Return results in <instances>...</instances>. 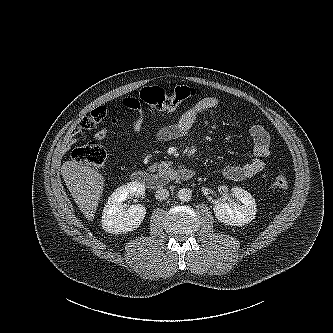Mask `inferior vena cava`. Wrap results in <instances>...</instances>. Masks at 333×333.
Here are the masks:
<instances>
[{
  "instance_id": "inferior-vena-cava-1",
  "label": "inferior vena cava",
  "mask_w": 333,
  "mask_h": 333,
  "mask_svg": "<svg viewBox=\"0 0 333 333\" xmlns=\"http://www.w3.org/2000/svg\"><path fill=\"white\" fill-rule=\"evenodd\" d=\"M155 197L159 201L166 200L169 197V191L165 188H160L156 191Z\"/></svg>"
}]
</instances>
